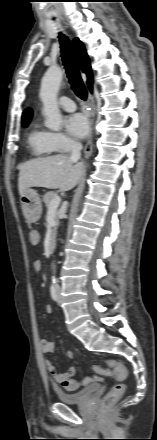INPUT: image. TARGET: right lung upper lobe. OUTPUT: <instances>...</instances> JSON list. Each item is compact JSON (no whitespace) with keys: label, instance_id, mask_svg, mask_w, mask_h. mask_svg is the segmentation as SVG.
I'll use <instances>...</instances> for the list:
<instances>
[{"label":"right lung upper lobe","instance_id":"right-lung-upper-lobe-1","mask_svg":"<svg viewBox=\"0 0 157 440\" xmlns=\"http://www.w3.org/2000/svg\"><path fill=\"white\" fill-rule=\"evenodd\" d=\"M74 48H75L76 56H77L80 67H81L82 71L85 72L88 76V85H89V88L91 89L92 88V72H91V67H90V61L87 56V53H86V50H85L83 43L81 41H79L78 38L74 39ZM31 116H32L31 109L25 110L23 113V123L29 122Z\"/></svg>","mask_w":157,"mask_h":440}]
</instances>
